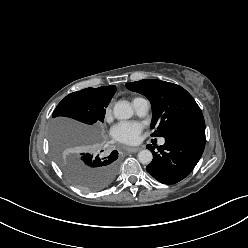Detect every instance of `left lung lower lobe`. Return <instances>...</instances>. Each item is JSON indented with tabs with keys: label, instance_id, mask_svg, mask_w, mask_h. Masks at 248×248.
I'll return each instance as SVG.
<instances>
[{
	"label": "left lung lower lobe",
	"instance_id": "left-lung-lower-lobe-1",
	"mask_svg": "<svg viewBox=\"0 0 248 248\" xmlns=\"http://www.w3.org/2000/svg\"><path fill=\"white\" fill-rule=\"evenodd\" d=\"M205 147L204 119L189 122L165 137V144L148 145L153 153L147 172L164 184H175L187 177L198 163Z\"/></svg>",
	"mask_w": 248,
	"mask_h": 248
}]
</instances>
